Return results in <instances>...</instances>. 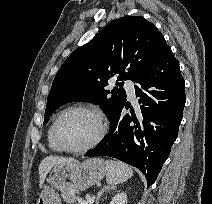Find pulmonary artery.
<instances>
[{
  "label": "pulmonary artery",
  "mask_w": 212,
  "mask_h": 204,
  "mask_svg": "<svg viewBox=\"0 0 212 204\" xmlns=\"http://www.w3.org/2000/svg\"><path fill=\"white\" fill-rule=\"evenodd\" d=\"M124 87L129 95V97L134 98V96H135L134 82L131 80L125 81Z\"/></svg>",
  "instance_id": "obj_1"
}]
</instances>
